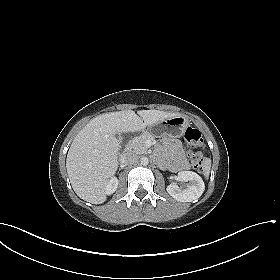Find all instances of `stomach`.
I'll list each match as a JSON object with an SVG mask.
<instances>
[{
	"label": "stomach",
	"instance_id": "1",
	"mask_svg": "<svg viewBox=\"0 0 280 280\" xmlns=\"http://www.w3.org/2000/svg\"><path fill=\"white\" fill-rule=\"evenodd\" d=\"M188 126V120L184 116H175L159 122L152 128H159L165 135L170 137H180Z\"/></svg>",
	"mask_w": 280,
	"mask_h": 280
}]
</instances>
